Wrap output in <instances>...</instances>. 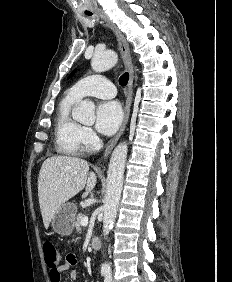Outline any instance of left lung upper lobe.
Returning <instances> with one entry per match:
<instances>
[{"instance_id":"left-lung-upper-lobe-1","label":"left lung upper lobe","mask_w":232,"mask_h":282,"mask_svg":"<svg viewBox=\"0 0 232 282\" xmlns=\"http://www.w3.org/2000/svg\"><path fill=\"white\" fill-rule=\"evenodd\" d=\"M74 72H75V71H73V72L71 73L70 77L74 74Z\"/></svg>"}]
</instances>
